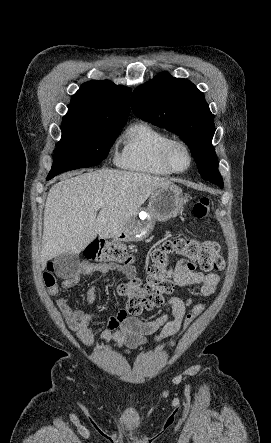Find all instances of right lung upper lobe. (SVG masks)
Returning <instances> with one entry per match:
<instances>
[{
    "instance_id": "1",
    "label": "right lung upper lobe",
    "mask_w": 271,
    "mask_h": 443,
    "mask_svg": "<svg viewBox=\"0 0 271 443\" xmlns=\"http://www.w3.org/2000/svg\"><path fill=\"white\" fill-rule=\"evenodd\" d=\"M130 94L129 88L110 81H89L82 84L71 97L67 115L85 118L127 117Z\"/></svg>"
}]
</instances>
